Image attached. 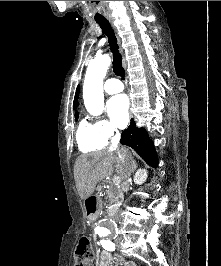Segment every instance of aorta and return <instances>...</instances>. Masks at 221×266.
<instances>
[{
  "instance_id": "obj_1",
  "label": "aorta",
  "mask_w": 221,
  "mask_h": 266,
  "mask_svg": "<svg viewBox=\"0 0 221 266\" xmlns=\"http://www.w3.org/2000/svg\"><path fill=\"white\" fill-rule=\"evenodd\" d=\"M107 54L98 55L90 61L83 85V99L87 111L92 115H100L104 109L103 79L110 66ZM101 230L113 231L111 226H102Z\"/></svg>"
}]
</instances>
